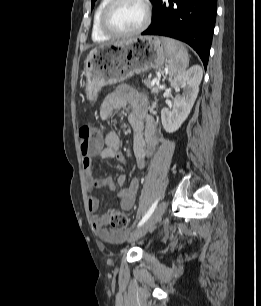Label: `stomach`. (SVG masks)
Wrapping results in <instances>:
<instances>
[{
  "mask_svg": "<svg viewBox=\"0 0 261 306\" xmlns=\"http://www.w3.org/2000/svg\"><path fill=\"white\" fill-rule=\"evenodd\" d=\"M166 61L164 44L157 36H138L97 47L90 51L85 61L87 98L94 100L102 87L149 69H158Z\"/></svg>",
  "mask_w": 261,
  "mask_h": 306,
  "instance_id": "obj_1",
  "label": "stomach"
}]
</instances>
